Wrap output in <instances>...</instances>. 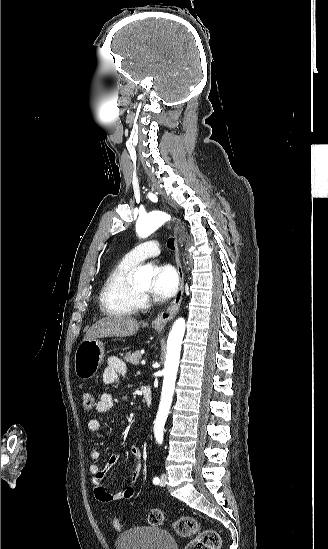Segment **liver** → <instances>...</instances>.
<instances>
[{"instance_id":"6515ba94","label":"liver","mask_w":328,"mask_h":549,"mask_svg":"<svg viewBox=\"0 0 328 549\" xmlns=\"http://www.w3.org/2000/svg\"><path fill=\"white\" fill-rule=\"evenodd\" d=\"M140 323L128 315H109L99 319L88 329L84 341L104 337H133L139 331Z\"/></svg>"}]
</instances>
